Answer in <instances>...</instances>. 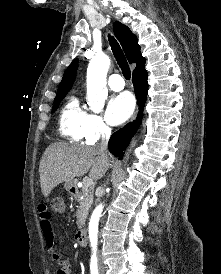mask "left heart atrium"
<instances>
[{
	"mask_svg": "<svg viewBox=\"0 0 221 274\" xmlns=\"http://www.w3.org/2000/svg\"><path fill=\"white\" fill-rule=\"evenodd\" d=\"M133 110V97L129 93H121L108 101L106 119L111 125H119L131 116Z\"/></svg>",
	"mask_w": 221,
	"mask_h": 274,
	"instance_id": "39dd6f15",
	"label": "left heart atrium"
}]
</instances>
